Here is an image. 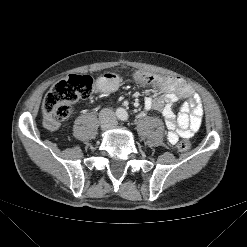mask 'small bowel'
Returning a JSON list of instances; mask_svg holds the SVG:
<instances>
[{"instance_id": "1", "label": "small bowel", "mask_w": 247, "mask_h": 247, "mask_svg": "<svg viewBox=\"0 0 247 247\" xmlns=\"http://www.w3.org/2000/svg\"><path fill=\"white\" fill-rule=\"evenodd\" d=\"M162 89L164 93L160 95H146L144 110H157L162 113L168 129L167 140L176 144L179 138H190L200 128L203 115L200 97L190 85L178 78L166 80ZM182 97L189 98V101L181 105L176 115L173 107Z\"/></svg>"}]
</instances>
